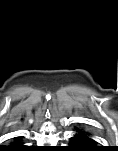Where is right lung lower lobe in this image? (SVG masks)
<instances>
[{"instance_id": "right-lung-lower-lobe-1", "label": "right lung lower lobe", "mask_w": 118, "mask_h": 151, "mask_svg": "<svg viewBox=\"0 0 118 151\" xmlns=\"http://www.w3.org/2000/svg\"><path fill=\"white\" fill-rule=\"evenodd\" d=\"M6 147V151H9V150H27V148L25 146H22V145H11V146H5ZM8 149V150H7ZM5 150V149H4Z\"/></svg>"}]
</instances>
